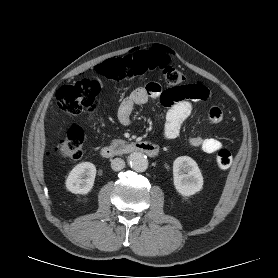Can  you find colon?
<instances>
[{"instance_id":"5ec220e1","label":"colon","mask_w":278,"mask_h":278,"mask_svg":"<svg viewBox=\"0 0 278 278\" xmlns=\"http://www.w3.org/2000/svg\"><path fill=\"white\" fill-rule=\"evenodd\" d=\"M96 73L110 81L131 83L146 74L159 71L174 100L203 99V87L200 84H185L184 74L169 63L166 52L153 47L147 51H137L124 57L108 59L95 67ZM100 83L96 79H83L62 86L57 92V105L60 111L71 118H76L83 112L91 117L98 106L97 96ZM84 133L79 126L69 129L67 138L56 148L57 154L64 160H77L82 155ZM216 163L221 169H227L232 164V155L224 147H220L215 155Z\"/></svg>"}]
</instances>
